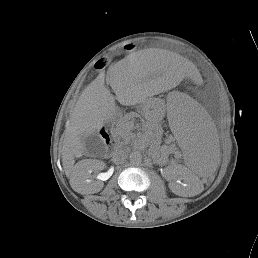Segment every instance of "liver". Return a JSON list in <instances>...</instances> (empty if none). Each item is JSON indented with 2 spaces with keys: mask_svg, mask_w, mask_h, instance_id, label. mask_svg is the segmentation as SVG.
Wrapping results in <instances>:
<instances>
[{
  "mask_svg": "<svg viewBox=\"0 0 258 258\" xmlns=\"http://www.w3.org/2000/svg\"><path fill=\"white\" fill-rule=\"evenodd\" d=\"M157 68L139 59V54L129 55L128 59L117 62L110 73V86L121 104H127L133 83L139 76H158ZM114 97L105 87L104 75H98L82 92L70 120L66 126L62 147V165L69 176L72 189L78 193H88L85 179L89 174L81 162L74 166V157H81L85 151L84 139L96 134L104 121L114 111ZM83 166V168H82Z\"/></svg>",
  "mask_w": 258,
  "mask_h": 258,
  "instance_id": "obj_1",
  "label": "liver"
}]
</instances>
